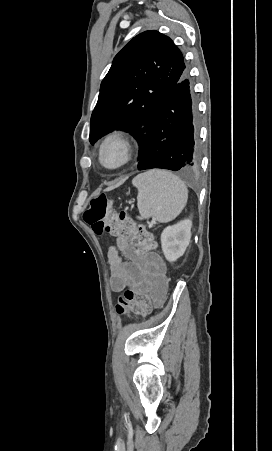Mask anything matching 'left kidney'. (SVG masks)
Wrapping results in <instances>:
<instances>
[{
	"instance_id": "left-kidney-1",
	"label": "left kidney",
	"mask_w": 272,
	"mask_h": 451,
	"mask_svg": "<svg viewBox=\"0 0 272 451\" xmlns=\"http://www.w3.org/2000/svg\"><path fill=\"white\" fill-rule=\"evenodd\" d=\"M191 220H182L175 226H168L161 233V247L168 261H176L185 253L191 237Z\"/></svg>"
}]
</instances>
